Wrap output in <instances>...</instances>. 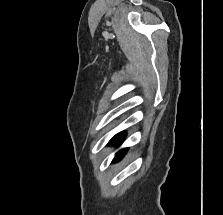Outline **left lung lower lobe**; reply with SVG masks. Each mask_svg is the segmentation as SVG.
<instances>
[{
	"mask_svg": "<svg viewBox=\"0 0 223 215\" xmlns=\"http://www.w3.org/2000/svg\"><path fill=\"white\" fill-rule=\"evenodd\" d=\"M124 135H125L124 132H121V133L115 135V136L110 140V144H120V143H121V140H122L123 137H124ZM126 151H127V149H123V150L119 151V152L116 154V156H115L113 162H117V161H119V160L124 156V154L126 153Z\"/></svg>",
	"mask_w": 223,
	"mask_h": 215,
	"instance_id": "0a47b994",
	"label": "left lung lower lobe"
}]
</instances>
